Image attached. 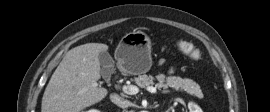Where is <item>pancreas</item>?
Here are the masks:
<instances>
[{
	"mask_svg": "<svg viewBox=\"0 0 270 112\" xmlns=\"http://www.w3.org/2000/svg\"><path fill=\"white\" fill-rule=\"evenodd\" d=\"M135 82L138 86L146 88L148 86L155 85L157 88H168L171 87L175 90H184L187 93L194 95L198 98H203V93L200 86L191 79L181 78L179 76H168L162 78L160 82L155 83L154 77L151 75H139L135 78Z\"/></svg>",
	"mask_w": 270,
	"mask_h": 112,
	"instance_id": "cf45deb5",
	"label": "pancreas"
}]
</instances>
